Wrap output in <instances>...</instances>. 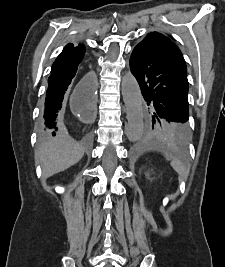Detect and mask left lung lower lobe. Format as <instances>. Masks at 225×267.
<instances>
[{
    "instance_id": "0a47b994",
    "label": "left lung lower lobe",
    "mask_w": 225,
    "mask_h": 267,
    "mask_svg": "<svg viewBox=\"0 0 225 267\" xmlns=\"http://www.w3.org/2000/svg\"><path fill=\"white\" fill-rule=\"evenodd\" d=\"M130 69L147 105L175 124V135L184 140L189 119L187 68L175 43L147 35L130 57Z\"/></svg>"
}]
</instances>
